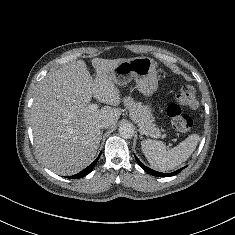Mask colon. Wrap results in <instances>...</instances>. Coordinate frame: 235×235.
Returning <instances> with one entry per match:
<instances>
[{"label": "colon", "mask_w": 235, "mask_h": 235, "mask_svg": "<svg viewBox=\"0 0 235 235\" xmlns=\"http://www.w3.org/2000/svg\"><path fill=\"white\" fill-rule=\"evenodd\" d=\"M198 105L195 90L191 86H183L175 101L167 107V114L177 131L185 133L192 128L193 120L189 114L183 111V108L196 109Z\"/></svg>", "instance_id": "obj_1"}]
</instances>
